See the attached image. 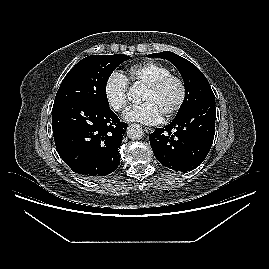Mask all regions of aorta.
Here are the masks:
<instances>
[{"label": "aorta", "mask_w": 269, "mask_h": 269, "mask_svg": "<svg viewBox=\"0 0 269 269\" xmlns=\"http://www.w3.org/2000/svg\"><path fill=\"white\" fill-rule=\"evenodd\" d=\"M137 89L134 88L132 93H136ZM144 131L140 125L133 124L128 127L127 129V136L132 140H139L143 137Z\"/></svg>", "instance_id": "1"}]
</instances>
